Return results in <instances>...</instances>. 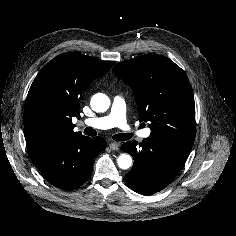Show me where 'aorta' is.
<instances>
[{"label": "aorta", "mask_w": 236, "mask_h": 236, "mask_svg": "<svg viewBox=\"0 0 236 236\" xmlns=\"http://www.w3.org/2000/svg\"><path fill=\"white\" fill-rule=\"evenodd\" d=\"M110 100L106 95H103L100 100H92L91 107L95 112H104L109 108ZM118 166L121 169H128L131 167L132 158L128 154H121L117 159Z\"/></svg>", "instance_id": "762f6f07"}]
</instances>
